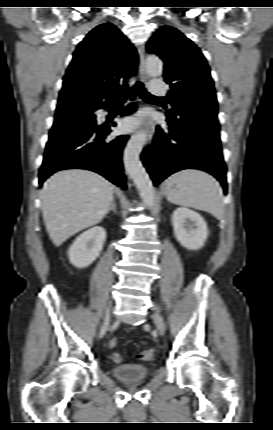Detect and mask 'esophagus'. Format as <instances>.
I'll list each match as a JSON object with an SVG mask.
<instances>
[{"label": "esophagus", "mask_w": 273, "mask_h": 430, "mask_svg": "<svg viewBox=\"0 0 273 430\" xmlns=\"http://www.w3.org/2000/svg\"><path fill=\"white\" fill-rule=\"evenodd\" d=\"M137 51H138V55H139V74H140V78L143 82H145L148 79V74L147 71L145 69V58H144V48L143 46H138L137 47ZM148 126V144H151L153 135H154V131H155V125L152 121H148L147 123Z\"/></svg>", "instance_id": "1"}]
</instances>
